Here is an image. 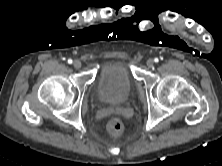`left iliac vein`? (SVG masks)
<instances>
[{
	"instance_id": "1",
	"label": "left iliac vein",
	"mask_w": 222,
	"mask_h": 166,
	"mask_svg": "<svg viewBox=\"0 0 222 166\" xmlns=\"http://www.w3.org/2000/svg\"><path fill=\"white\" fill-rule=\"evenodd\" d=\"M154 65V60L153 59H148L147 60V66L152 67Z\"/></svg>"
}]
</instances>
